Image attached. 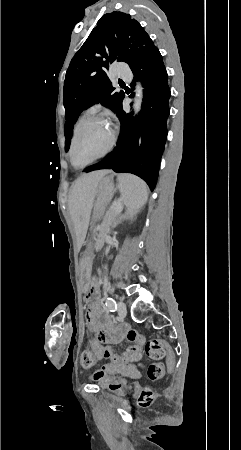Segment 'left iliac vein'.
Instances as JSON below:
<instances>
[{"mask_svg":"<svg viewBox=\"0 0 241 450\" xmlns=\"http://www.w3.org/2000/svg\"><path fill=\"white\" fill-rule=\"evenodd\" d=\"M117 311L121 318L126 316V304L123 301H119Z\"/></svg>","mask_w":241,"mask_h":450,"instance_id":"1","label":"left iliac vein"}]
</instances>
